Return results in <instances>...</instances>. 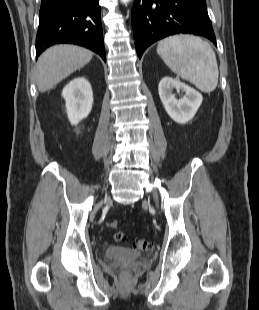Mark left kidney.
Here are the masks:
<instances>
[{
  "label": "left kidney",
  "instance_id": "1",
  "mask_svg": "<svg viewBox=\"0 0 259 310\" xmlns=\"http://www.w3.org/2000/svg\"><path fill=\"white\" fill-rule=\"evenodd\" d=\"M174 89L185 92V95L177 99L173 94ZM158 92L167 114L180 124H185L194 117L203 100L198 91L171 77L161 79Z\"/></svg>",
  "mask_w": 259,
  "mask_h": 310
}]
</instances>
